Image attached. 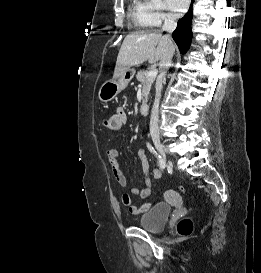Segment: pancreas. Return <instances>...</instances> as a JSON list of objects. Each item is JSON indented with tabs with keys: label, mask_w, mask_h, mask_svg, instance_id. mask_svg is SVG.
<instances>
[{
	"label": "pancreas",
	"mask_w": 261,
	"mask_h": 273,
	"mask_svg": "<svg viewBox=\"0 0 261 273\" xmlns=\"http://www.w3.org/2000/svg\"><path fill=\"white\" fill-rule=\"evenodd\" d=\"M147 74H148V71L140 70L138 71L136 75L137 80L143 83L142 100L144 103L147 102L148 100V95H149L151 86L156 78V77H148Z\"/></svg>",
	"instance_id": "obj_1"
}]
</instances>
